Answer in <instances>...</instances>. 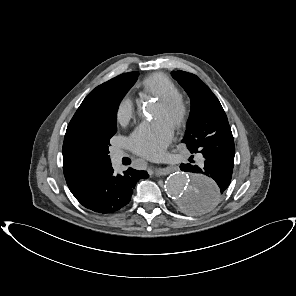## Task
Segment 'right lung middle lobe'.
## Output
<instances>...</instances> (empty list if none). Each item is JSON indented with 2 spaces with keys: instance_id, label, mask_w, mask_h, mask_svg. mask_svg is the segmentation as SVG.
Listing matches in <instances>:
<instances>
[{
  "instance_id": "1",
  "label": "right lung middle lobe",
  "mask_w": 296,
  "mask_h": 296,
  "mask_svg": "<svg viewBox=\"0 0 296 296\" xmlns=\"http://www.w3.org/2000/svg\"><path fill=\"white\" fill-rule=\"evenodd\" d=\"M138 72H132L120 82L112 86L108 94L89 112L88 125L90 135L100 144L101 150L108 155L111 137L117 131V110L120 101L133 86Z\"/></svg>"
}]
</instances>
